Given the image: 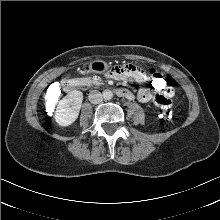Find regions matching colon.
<instances>
[{
  "instance_id": "obj_1",
  "label": "colon",
  "mask_w": 220,
  "mask_h": 220,
  "mask_svg": "<svg viewBox=\"0 0 220 220\" xmlns=\"http://www.w3.org/2000/svg\"><path fill=\"white\" fill-rule=\"evenodd\" d=\"M130 73H127V75ZM150 74L152 75L148 81V86L151 91L155 93H160L165 91L168 86H169V79L168 77L163 74V73H158L156 70L151 69ZM58 88L54 87L50 92H49V97L50 98H55L58 96ZM155 103L160 106L166 115V118L168 120H173V111H172V103L171 99H168L163 96H156L155 97Z\"/></svg>"
}]
</instances>
